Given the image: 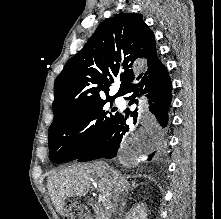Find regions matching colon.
<instances>
[{
    "mask_svg": "<svg viewBox=\"0 0 221 219\" xmlns=\"http://www.w3.org/2000/svg\"><path fill=\"white\" fill-rule=\"evenodd\" d=\"M67 211V219H82L83 218V210L77 204L69 203L66 207Z\"/></svg>",
    "mask_w": 221,
    "mask_h": 219,
    "instance_id": "5ec220e1",
    "label": "colon"
}]
</instances>
